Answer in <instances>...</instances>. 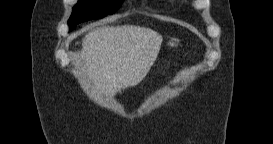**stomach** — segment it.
Instances as JSON below:
<instances>
[{
    "label": "stomach",
    "mask_w": 273,
    "mask_h": 144,
    "mask_svg": "<svg viewBox=\"0 0 273 144\" xmlns=\"http://www.w3.org/2000/svg\"><path fill=\"white\" fill-rule=\"evenodd\" d=\"M180 44L179 39L177 38H171L169 39V41L167 42V46L171 49V48H176L178 47V45Z\"/></svg>",
    "instance_id": "obj_1"
}]
</instances>
